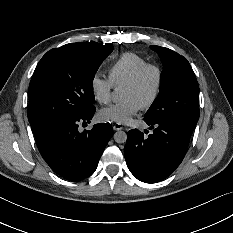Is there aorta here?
<instances>
[{"label":"aorta","mask_w":233,"mask_h":233,"mask_svg":"<svg viewBox=\"0 0 233 233\" xmlns=\"http://www.w3.org/2000/svg\"><path fill=\"white\" fill-rule=\"evenodd\" d=\"M121 96L119 89H114L110 95L112 103H118L121 100ZM114 140L117 143H125L127 140V134L124 131L119 130L114 134Z\"/></svg>","instance_id":"762f6f07"}]
</instances>
